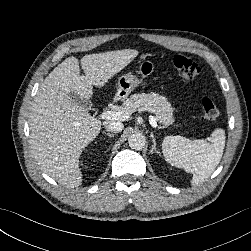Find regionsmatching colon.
I'll use <instances>...</instances> for the list:
<instances>
[{
	"mask_svg": "<svg viewBox=\"0 0 251 251\" xmlns=\"http://www.w3.org/2000/svg\"><path fill=\"white\" fill-rule=\"evenodd\" d=\"M171 64L182 77L189 80L197 79L201 73L200 66L188 56L175 55L171 59ZM201 104L204 118L206 120L213 121L219 117L220 111L212 100L209 98H203Z\"/></svg>",
	"mask_w": 251,
	"mask_h": 251,
	"instance_id": "5ec220e1",
	"label": "colon"
}]
</instances>
